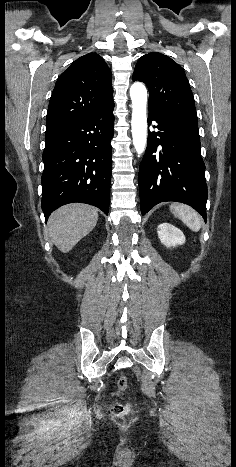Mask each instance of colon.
Instances as JSON below:
<instances>
[{"instance_id": "5ec220e1", "label": "colon", "mask_w": 236, "mask_h": 467, "mask_svg": "<svg viewBox=\"0 0 236 467\" xmlns=\"http://www.w3.org/2000/svg\"><path fill=\"white\" fill-rule=\"evenodd\" d=\"M118 391L123 393L126 391L128 387V380L126 376L121 375L117 381ZM130 411V404L129 403H114L111 405L109 412L111 416L117 419H123Z\"/></svg>"}]
</instances>
